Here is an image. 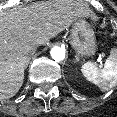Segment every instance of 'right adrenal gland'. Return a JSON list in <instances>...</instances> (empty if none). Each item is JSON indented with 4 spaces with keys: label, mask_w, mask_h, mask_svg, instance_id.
I'll use <instances>...</instances> for the list:
<instances>
[{
    "label": "right adrenal gland",
    "mask_w": 117,
    "mask_h": 117,
    "mask_svg": "<svg viewBox=\"0 0 117 117\" xmlns=\"http://www.w3.org/2000/svg\"><path fill=\"white\" fill-rule=\"evenodd\" d=\"M29 61H30V57L28 58V61H27L26 67L28 66Z\"/></svg>",
    "instance_id": "1"
}]
</instances>
